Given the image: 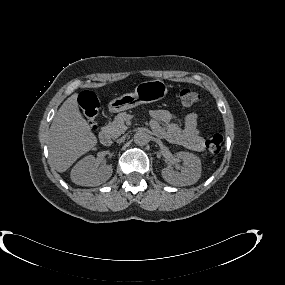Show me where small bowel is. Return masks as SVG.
<instances>
[{"label":"small bowel","instance_id":"obj_1","mask_svg":"<svg viewBox=\"0 0 285 285\" xmlns=\"http://www.w3.org/2000/svg\"><path fill=\"white\" fill-rule=\"evenodd\" d=\"M151 117L150 125L157 136L192 151L204 150V140L197 128L196 113H189L179 124L172 122L171 113L165 109L152 110Z\"/></svg>","mask_w":285,"mask_h":285}]
</instances>
